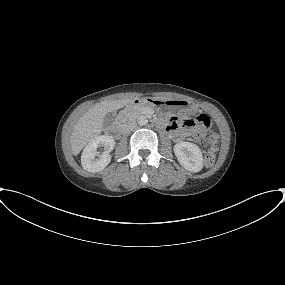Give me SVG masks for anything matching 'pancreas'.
<instances>
[{
  "mask_svg": "<svg viewBox=\"0 0 285 285\" xmlns=\"http://www.w3.org/2000/svg\"><path fill=\"white\" fill-rule=\"evenodd\" d=\"M142 109L136 108L133 106L126 107L119 115V121L123 122L129 118H133L139 114H141Z\"/></svg>",
  "mask_w": 285,
  "mask_h": 285,
  "instance_id": "pancreas-1",
  "label": "pancreas"
}]
</instances>
